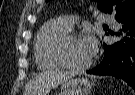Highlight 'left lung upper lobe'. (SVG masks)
Here are the masks:
<instances>
[{"instance_id":"obj_1","label":"left lung upper lobe","mask_w":135,"mask_h":95,"mask_svg":"<svg viewBox=\"0 0 135 95\" xmlns=\"http://www.w3.org/2000/svg\"><path fill=\"white\" fill-rule=\"evenodd\" d=\"M49 1V0H47ZM99 2V9L103 12L113 13L119 20L135 10V0H95Z\"/></svg>"}]
</instances>
